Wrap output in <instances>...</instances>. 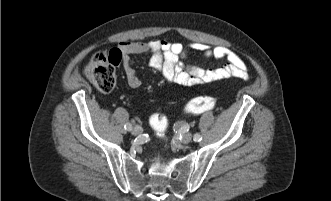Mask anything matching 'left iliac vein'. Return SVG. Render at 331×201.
I'll use <instances>...</instances> for the list:
<instances>
[{"label": "left iliac vein", "instance_id": "left-iliac-vein-1", "mask_svg": "<svg viewBox=\"0 0 331 201\" xmlns=\"http://www.w3.org/2000/svg\"><path fill=\"white\" fill-rule=\"evenodd\" d=\"M192 140V135L190 133H184L181 137V141L184 144H188Z\"/></svg>", "mask_w": 331, "mask_h": 201}]
</instances>
